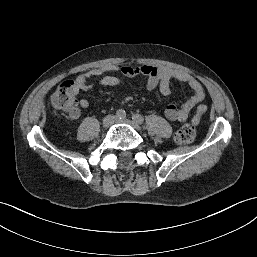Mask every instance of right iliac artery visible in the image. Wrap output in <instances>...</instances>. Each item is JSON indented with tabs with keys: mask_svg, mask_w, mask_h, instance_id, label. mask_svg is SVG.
<instances>
[{
	"mask_svg": "<svg viewBox=\"0 0 257 257\" xmlns=\"http://www.w3.org/2000/svg\"><path fill=\"white\" fill-rule=\"evenodd\" d=\"M116 116H117L119 119H123V118H125L126 113H125L124 110H118L117 113H116Z\"/></svg>",
	"mask_w": 257,
	"mask_h": 257,
	"instance_id": "82829eb1",
	"label": "right iliac artery"
}]
</instances>
